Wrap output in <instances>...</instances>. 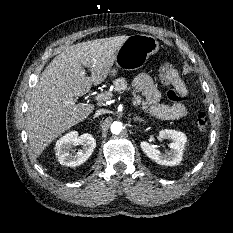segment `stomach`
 Returning <instances> with one entry per match:
<instances>
[{"label": "stomach", "instance_id": "obj_1", "mask_svg": "<svg viewBox=\"0 0 233 233\" xmlns=\"http://www.w3.org/2000/svg\"><path fill=\"white\" fill-rule=\"evenodd\" d=\"M158 49L159 42L155 37L145 34L130 35L117 52L116 66L121 70L139 68Z\"/></svg>", "mask_w": 233, "mask_h": 233}]
</instances>
